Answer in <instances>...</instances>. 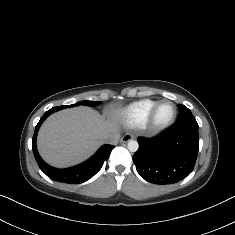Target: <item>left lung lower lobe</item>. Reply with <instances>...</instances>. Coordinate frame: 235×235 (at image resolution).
Segmentation results:
<instances>
[{
	"label": "left lung lower lobe",
	"mask_w": 235,
	"mask_h": 235,
	"mask_svg": "<svg viewBox=\"0 0 235 235\" xmlns=\"http://www.w3.org/2000/svg\"><path fill=\"white\" fill-rule=\"evenodd\" d=\"M133 156L137 172L156 184H170L187 177L193 170L198 149V124L175 123L161 135L138 138Z\"/></svg>",
	"instance_id": "obj_1"
}]
</instances>
